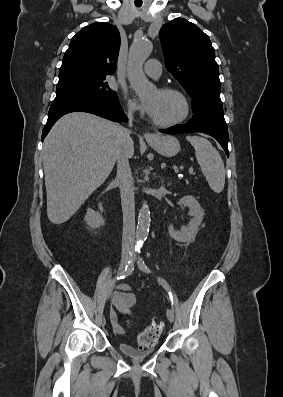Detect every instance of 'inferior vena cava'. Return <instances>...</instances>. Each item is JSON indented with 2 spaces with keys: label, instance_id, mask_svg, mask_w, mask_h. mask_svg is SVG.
Here are the masks:
<instances>
[{
  "label": "inferior vena cava",
  "instance_id": "obj_1",
  "mask_svg": "<svg viewBox=\"0 0 283 397\" xmlns=\"http://www.w3.org/2000/svg\"><path fill=\"white\" fill-rule=\"evenodd\" d=\"M130 124L132 123V111H128ZM130 128L121 127L119 131L123 147L117 156V178L120 180V195L123 211V249H132L135 236V208L134 192L130 187L131 170L128 161L126 144L130 141Z\"/></svg>",
  "mask_w": 283,
  "mask_h": 397
}]
</instances>
